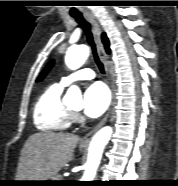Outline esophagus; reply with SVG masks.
Listing matches in <instances>:
<instances>
[{"label": "esophagus", "mask_w": 178, "mask_h": 186, "mask_svg": "<svg viewBox=\"0 0 178 186\" xmlns=\"http://www.w3.org/2000/svg\"><path fill=\"white\" fill-rule=\"evenodd\" d=\"M86 19L91 23V25L93 27V33H94V36H95V42H96V45H97V50H98L99 57L105 63L106 71L109 72V69H108V66H107V55L105 53L104 46L101 42V32L102 31H101V28L99 26V23L93 15H87ZM110 113H111V107L109 108L105 117L91 131H89L81 139L82 144H86L92 139L94 134L106 123V121L108 120V118L110 116Z\"/></svg>", "instance_id": "34e87169"}]
</instances>
